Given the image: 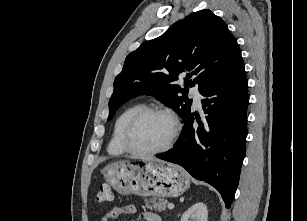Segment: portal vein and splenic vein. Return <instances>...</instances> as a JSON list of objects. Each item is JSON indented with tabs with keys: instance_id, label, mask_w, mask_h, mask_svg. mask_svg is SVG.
I'll return each instance as SVG.
<instances>
[{
	"instance_id": "obj_1",
	"label": "portal vein and splenic vein",
	"mask_w": 307,
	"mask_h": 221,
	"mask_svg": "<svg viewBox=\"0 0 307 221\" xmlns=\"http://www.w3.org/2000/svg\"><path fill=\"white\" fill-rule=\"evenodd\" d=\"M173 208H174V204L169 203V204H168V209L172 210Z\"/></svg>"
}]
</instances>
